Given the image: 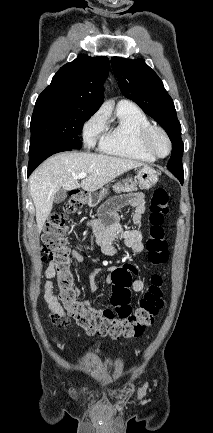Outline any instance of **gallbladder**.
Here are the masks:
<instances>
[{
  "label": "gallbladder",
  "instance_id": "1",
  "mask_svg": "<svg viewBox=\"0 0 213 433\" xmlns=\"http://www.w3.org/2000/svg\"><path fill=\"white\" fill-rule=\"evenodd\" d=\"M66 197H67L66 190L61 188L54 195V203L59 204L63 202L66 199Z\"/></svg>",
  "mask_w": 213,
  "mask_h": 433
}]
</instances>
